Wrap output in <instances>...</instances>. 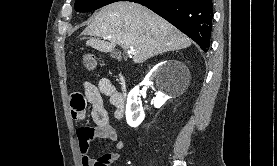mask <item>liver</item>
Instances as JSON below:
<instances>
[{
	"label": "liver",
	"instance_id": "6515ba94",
	"mask_svg": "<svg viewBox=\"0 0 277 166\" xmlns=\"http://www.w3.org/2000/svg\"><path fill=\"white\" fill-rule=\"evenodd\" d=\"M84 34L97 37L90 38L86 45L101 52H111L116 45L135 49L134 63H143L159 54L185 49L192 44L168 21L133 2L104 6L94 15Z\"/></svg>",
	"mask_w": 277,
	"mask_h": 166
}]
</instances>
